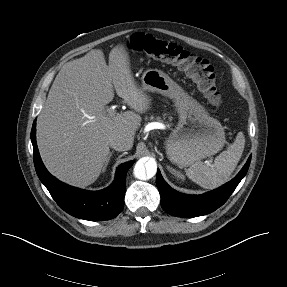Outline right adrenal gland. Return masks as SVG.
Returning <instances> with one entry per match:
<instances>
[{"mask_svg":"<svg viewBox=\"0 0 287 287\" xmlns=\"http://www.w3.org/2000/svg\"><path fill=\"white\" fill-rule=\"evenodd\" d=\"M112 155H113V152H110V154H109V156H108V158H107V160H106V162H105V165H104V167H103V172L106 170V168H107V166H108V164H109V162H110V158L112 157Z\"/></svg>","mask_w":287,"mask_h":287,"instance_id":"obj_1","label":"right adrenal gland"}]
</instances>
